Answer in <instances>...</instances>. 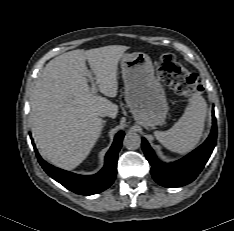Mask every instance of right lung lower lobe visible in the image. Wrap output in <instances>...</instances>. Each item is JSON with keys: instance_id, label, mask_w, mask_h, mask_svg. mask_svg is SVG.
Segmentation results:
<instances>
[{"instance_id": "1", "label": "right lung lower lobe", "mask_w": 234, "mask_h": 231, "mask_svg": "<svg viewBox=\"0 0 234 231\" xmlns=\"http://www.w3.org/2000/svg\"><path fill=\"white\" fill-rule=\"evenodd\" d=\"M123 137V131L117 133L110 150L106 154L104 168L97 174L90 176L78 175L56 168L45 162L35 147L34 149L39 163L50 177L74 193L92 195L104 191L113 183L117 171L118 152L121 148Z\"/></svg>"}]
</instances>
